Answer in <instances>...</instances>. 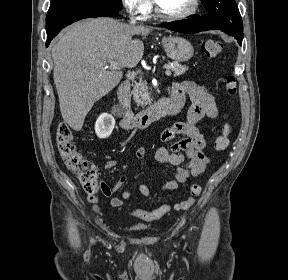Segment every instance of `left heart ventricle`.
Masks as SVG:
<instances>
[{
    "mask_svg": "<svg viewBox=\"0 0 288 280\" xmlns=\"http://www.w3.org/2000/svg\"><path fill=\"white\" fill-rule=\"evenodd\" d=\"M160 9L166 14H180L188 10L193 0H156Z\"/></svg>",
    "mask_w": 288,
    "mask_h": 280,
    "instance_id": "b2bd125f",
    "label": "left heart ventricle"
}]
</instances>
